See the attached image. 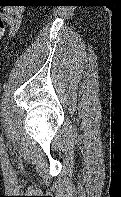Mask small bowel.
<instances>
[{
  "label": "small bowel",
  "instance_id": "small-bowel-1",
  "mask_svg": "<svg viewBox=\"0 0 121 197\" xmlns=\"http://www.w3.org/2000/svg\"><path fill=\"white\" fill-rule=\"evenodd\" d=\"M0 17L9 26V34L14 35L23 21V8L20 5H5Z\"/></svg>",
  "mask_w": 121,
  "mask_h": 197
}]
</instances>
